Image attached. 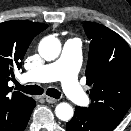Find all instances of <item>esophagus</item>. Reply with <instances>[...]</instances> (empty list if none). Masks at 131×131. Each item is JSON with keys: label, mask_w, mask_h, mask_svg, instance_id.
<instances>
[{"label": "esophagus", "mask_w": 131, "mask_h": 131, "mask_svg": "<svg viewBox=\"0 0 131 131\" xmlns=\"http://www.w3.org/2000/svg\"><path fill=\"white\" fill-rule=\"evenodd\" d=\"M44 98H45L46 102L51 103V104L57 102V99L50 97V96H45Z\"/></svg>", "instance_id": "34e87169"}]
</instances>
